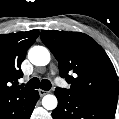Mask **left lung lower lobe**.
Returning a JSON list of instances; mask_svg holds the SVG:
<instances>
[{
  "mask_svg": "<svg viewBox=\"0 0 119 119\" xmlns=\"http://www.w3.org/2000/svg\"><path fill=\"white\" fill-rule=\"evenodd\" d=\"M58 106L52 112L53 119H114L116 107L96 102L55 90Z\"/></svg>",
  "mask_w": 119,
  "mask_h": 119,
  "instance_id": "1",
  "label": "left lung lower lobe"
}]
</instances>
